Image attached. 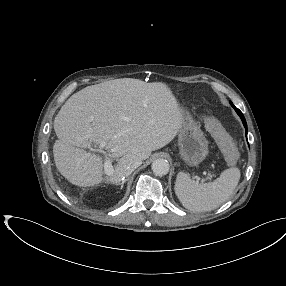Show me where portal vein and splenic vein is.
<instances>
[{
    "mask_svg": "<svg viewBox=\"0 0 286 286\" xmlns=\"http://www.w3.org/2000/svg\"><path fill=\"white\" fill-rule=\"evenodd\" d=\"M105 145H106L105 143H101L99 145V147L102 149V148L105 147ZM104 171H105V173L107 175L113 174V166H112L111 161H110L109 158H106L105 161H104Z\"/></svg>",
    "mask_w": 286,
    "mask_h": 286,
    "instance_id": "18ae733b",
    "label": "portal vein and splenic vein"
}]
</instances>
